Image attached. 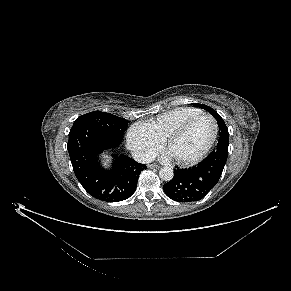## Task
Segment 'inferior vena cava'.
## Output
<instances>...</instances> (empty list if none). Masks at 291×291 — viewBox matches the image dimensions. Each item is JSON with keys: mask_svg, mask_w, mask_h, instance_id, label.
<instances>
[{"mask_svg": "<svg viewBox=\"0 0 291 291\" xmlns=\"http://www.w3.org/2000/svg\"><path fill=\"white\" fill-rule=\"evenodd\" d=\"M132 157L138 163H150L153 160V156L150 152L144 150H135L132 152Z\"/></svg>", "mask_w": 291, "mask_h": 291, "instance_id": "1", "label": "inferior vena cava"}]
</instances>
